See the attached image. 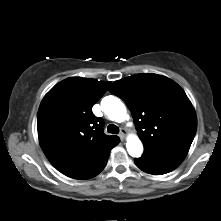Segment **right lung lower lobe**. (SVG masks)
<instances>
[{"mask_svg":"<svg viewBox=\"0 0 221 221\" xmlns=\"http://www.w3.org/2000/svg\"><path fill=\"white\" fill-rule=\"evenodd\" d=\"M117 144H115L114 146H116ZM113 147L108 149L105 153H103L101 156H99L94 161H92L84 166L65 171V172H63V174L68 177L74 178V179H90V178L98 175L106 166L110 151Z\"/></svg>","mask_w":221,"mask_h":221,"instance_id":"98d812e1","label":"right lung lower lobe"}]
</instances>
